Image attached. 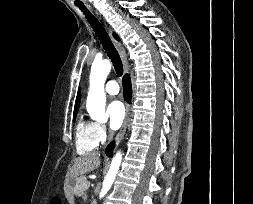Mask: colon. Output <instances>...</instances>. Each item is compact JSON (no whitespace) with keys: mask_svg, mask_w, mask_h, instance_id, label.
<instances>
[{"mask_svg":"<svg viewBox=\"0 0 253 204\" xmlns=\"http://www.w3.org/2000/svg\"><path fill=\"white\" fill-rule=\"evenodd\" d=\"M52 204H59L58 202H53Z\"/></svg>","mask_w":253,"mask_h":204,"instance_id":"1","label":"colon"}]
</instances>
